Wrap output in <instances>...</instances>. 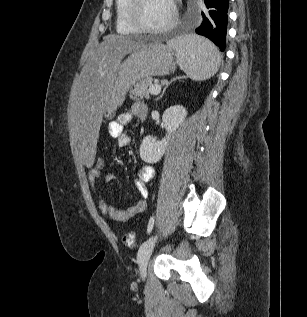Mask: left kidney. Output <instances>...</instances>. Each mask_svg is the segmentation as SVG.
Wrapping results in <instances>:
<instances>
[{
  "label": "left kidney",
  "mask_w": 307,
  "mask_h": 317,
  "mask_svg": "<svg viewBox=\"0 0 307 317\" xmlns=\"http://www.w3.org/2000/svg\"><path fill=\"white\" fill-rule=\"evenodd\" d=\"M187 115L186 109L181 105L171 106L162 116L163 125L167 131L166 137L157 141L152 136H146L140 146V157L144 162L156 163L164 155L171 135L183 123Z\"/></svg>",
  "instance_id": "left-kidney-1"
}]
</instances>
